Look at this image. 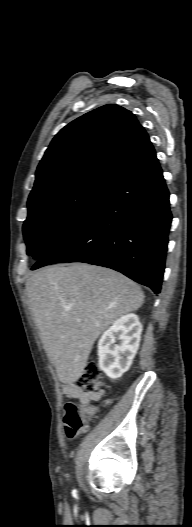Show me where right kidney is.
Segmentation results:
<instances>
[{
    "instance_id": "right-kidney-1",
    "label": "right kidney",
    "mask_w": 192,
    "mask_h": 527,
    "mask_svg": "<svg viewBox=\"0 0 192 527\" xmlns=\"http://www.w3.org/2000/svg\"><path fill=\"white\" fill-rule=\"evenodd\" d=\"M142 324L137 315L128 314L116 320L98 342L100 369L110 378L117 379L125 373L139 348ZM120 340L119 344H115Z\"/></svg>"
}]
</instances>
